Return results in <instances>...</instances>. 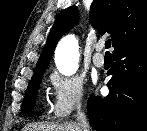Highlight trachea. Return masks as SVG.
Instances as JSON below:
<instances>
[{
  "instance_id": "1",
  "label": "trachea",
  "mask_w": 147,
  "mask_h": 131,
  "mask_svg": "<svg viewBox=\"0 0 147 131\" xmlns=\"http://www.w3.org/2000/svg\"><path fill=\"white\" fill-rule=\"evenodd\" d=\"M110 46H111V40H107L105 42V48L108 49V48H110ZM106 53L108 54L109 52H106Z\"/></svg>"
}]
</instances>
